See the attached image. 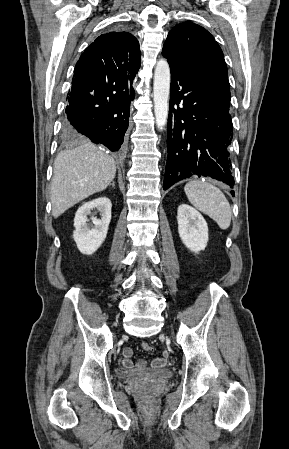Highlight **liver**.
<instances>
[{"label": "liver", "mask_w": 289, "mask_h": 449, "mask_svg": "<svg viewBox=\"0 0 289 449\" xmlns=\"http://www.w3.org/2000/svg\"><path fill=\"white\" fill-rule=\"evenodd\" d=\"M115 173L114 159L92 143L60 152L51 182L53 217L58 218L81 200L106 189Z\"/></svg>", "instance_id": "obj_1"}]
</instances>
